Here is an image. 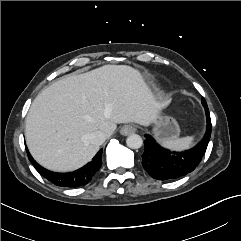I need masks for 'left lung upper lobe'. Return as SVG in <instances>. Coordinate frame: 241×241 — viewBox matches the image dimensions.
Wrapping results in <instances>:
<instances>
[{"label": "left lung upper lobe", "mask_w": 241, "mask_h": 241, "mask_svg": "<svg viewBox=\"0 0 241 241\" xmlns=\"http://www.w3.org/2000/svg\"><path fill=\"white\" fill-rule=\"evenodd\" d=\"M202 104H203V106H206V105H207L204 98H202Z\"/></svg>", "instance_id": "left-lung-upper-lobe-1"}]
</instances>
